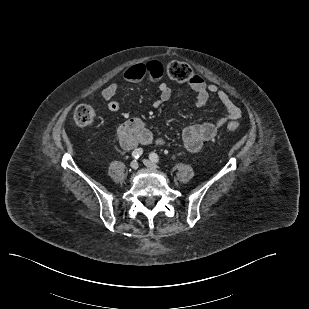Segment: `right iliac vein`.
<instances>
[{"label": "right iliac vein", "instance_id": "right-iliac-vein-1", "mask_svg": "<svg viewBox=\"0 0 309 309\" xmlns=\"http://www.w3.org/2000/svg\"><path fill=\"white\" fill-rule=\"evenodd\" d=\"M139 164L136 160H133L130 164V167L133 169V170H136L138 168Z\"/></svg>", "mask_w": 309, "mask_h": 309}]
</instances>
